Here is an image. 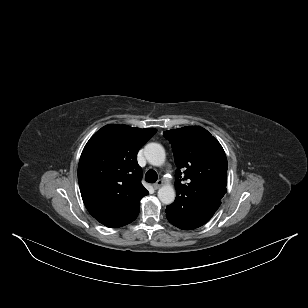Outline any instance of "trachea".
<instances>
[{
	"mask_svg": "<svg viewBox=\"0 0 308 308\" xmlns=\"http://www.w3.org/2000/svg\"><path fill=\"white\" fill-rule=\"evenodd\" d=\"M157 173L153 170H148L145 174V180L148 182V183H154L157 181Z\"/></svg>",
	"mask_w": 308,
	"mask_h": 308,
	"instance_id": "1",
	"label": "trachea"
}]
</instances>
